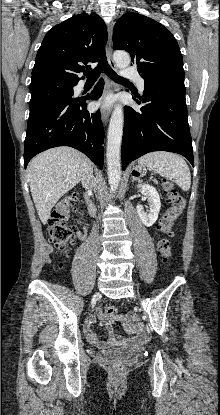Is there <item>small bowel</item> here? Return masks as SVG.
Masks as SVG:
<instances>
[{
  "label": "small bowel",
  "mask_w": 220,
  "mask_h": 415,
  "mask_svg": "<svg viewBox=\"0 0 220 415\" xmlns=\"http://www.w3.org/2000/svg\"><path fill=\"white\" fill-rule=\"evenodd\" d=\"M79 236L81 238H85L86 230L83 229L79 232ZM106 316L103 314L102 311H98L94 316L89 317L84 325V334L91 345L97 346L104 351H107L111 345H126L127 342L124 340L116 339L113 336H110L106 341H101L97 335L92 330L93 325L97 322L98 319H105ZM108 318V317H107ZM110 319V318H108ZM108 327L111 329V324L107 323Z\"/></svg>",
  "instance_id": "1"
}]
</instances>
